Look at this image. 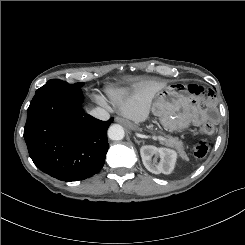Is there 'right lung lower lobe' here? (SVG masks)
<instances>
[{"instance_id": "right-lung-lower-lobe-1", "label": "right lung lower lobe", "mask_w": 245, "mask_h": 245, "mask_svg": "<svg viewBox=\"0 0 245 245\" xmlns=\"http://www.w3.org/2000/svg\"><path fill=\"white\" fill-rule=\"evenodd\" d=\"M79 87L62 85L35 93L24 138L34 164L62 181L86 179L101 170L109 148L108 121L84 114Z\"/></svg>"}]
</instances>
